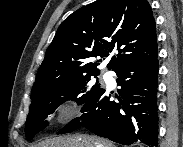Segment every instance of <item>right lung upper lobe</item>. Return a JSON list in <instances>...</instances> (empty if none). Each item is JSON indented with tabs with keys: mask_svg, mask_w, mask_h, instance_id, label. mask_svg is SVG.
Masks as SVG:
<instances>
[{
	"mask_svg": "<svg viewBox=\"0 0 183 147\" xmlns=\"http://www.w3.org/2000/svg\"><path fill=\"white\" fill-rule=\"evenodd\" d=\"M113 49L108 63L123 64L157 54L155 20L147 0H97L72 13L59 26L39 67L32 90L58 80L99 74L97 66Z\"/></svg>",
	"mask_w": 183,
	"mask_h": 147,
	"instance_id": "right-lung-upper-lobe-1",
	"label": "right lung upper lobe"
}]
</instances>
